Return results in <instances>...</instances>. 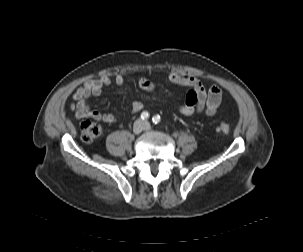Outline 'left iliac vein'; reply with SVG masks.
<instances>
[{"label": "left iliac vein", "instance_id": "obj_1", "mask_svg": "<svg viewBox=\"0 0 303 252\" xmlns=\"http://www.w3.org/2000/svg\"><path fill=\"white\" fill-rule=\"evenodd\" d=\"M143 124H144V129L145 130H150L151 129V126L148 122H144Z\"/></svg>", "mask_w": 303, "mask_h": 252}]
</instances>
